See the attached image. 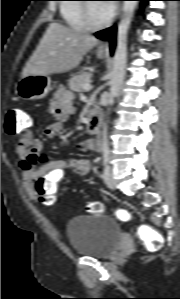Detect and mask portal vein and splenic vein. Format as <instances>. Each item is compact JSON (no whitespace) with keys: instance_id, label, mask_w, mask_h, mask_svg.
<instances>
[{"instance_id":"portal-vein-and-splenic-vein-1","label":"portal vein and splenic vein","mask_w":180,"mask_h":299,"mask_svg":"<svg viewBox=\"0 0 180 299\" xmlns=\"http://www.w3.org/2000/svg\"><path fill=\"white\" fill-rule=\"evenodd\" d=\"M83 89L88 91V90L92 89V86L90 84H84Z\"/></svg>"}]
</instances>
